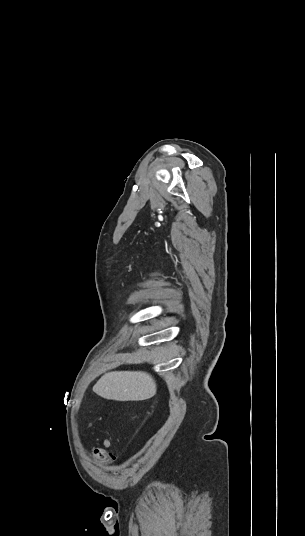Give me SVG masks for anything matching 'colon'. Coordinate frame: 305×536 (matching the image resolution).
I'll use <instances>...</instances> for the list:
<instances>
[{
    "instance_id": "5ec220e1",
    "label": "colon",
    "mask_w": 305,
    "mask_h": 536,
    "mask_svg": "<svg viewBox=\"0 0 305 536\" xmlns=\"http://www.w3.org/2000/svg\"><path fill=\"white\" fill-rule=\"evenodd\" d=\"M94 453L100 461L108 460V454L106 450L102 448H95Z\"/></svg>"
}]
</instances>
